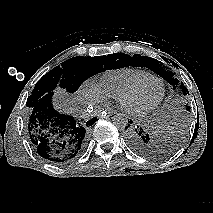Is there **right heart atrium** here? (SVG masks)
Segmentation results:
<instances>
[{
  "label": "right heart atrium",
  "instance_id": "right-heart-atrium-1",
  "mask_svg": "<svg viewBox=\"0 0 213 213\" xmlns=\"http://www.w3.org/2000/svg\"><path fill=\"white\" fill-rule=\"evenodd\" d=\"M81 95L86 102L91 104L103 102L105 99L97 89L96 85L91 82H87L83 86Z\"/></svg>",
  "mask_w": 213,
  "mask_h": 213
}]
</instances>
